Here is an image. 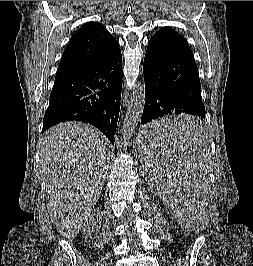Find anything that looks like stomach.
<instances>
[{
  "label": "stomach",
  "instance_id": "obj_1",
  "mask_svg": "<svg viewBox=\"0 0 253 266\" xmlns=\"http://www.w3.org/2000/svg\"><path fill=\"white\" fill-rule=\"evenodd\" d=\"M140 138H145V137H144L143 134H140L139 139H140ZM139 139H138V142H139Z\"/></svg>",
  "mask_w": 253,
  "mask_h": 266
}]
</instances>
